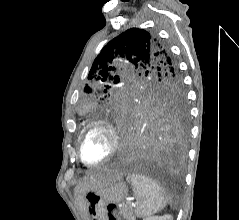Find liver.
I'll return each mask as SVG.
<instances>
[{
  "label": "liver",
  "instance_id": "6515ba94",
  "mask_svg": "<svg viewBox=\"0 0 239 220\" xmlns=\"http://www.w3.org/2000/svg\"><path fill=\"white\" fill-rule=\"evenodd\" d=\"M123 172L118 170L109 171L96 177H90L79 183L75 189L78 204L82 210H85L84 195L91 189L102 187L112 179H121Z\"/></svg>",
  "mask_w": 239,
  "mask_h": 220
}]
</instances>
